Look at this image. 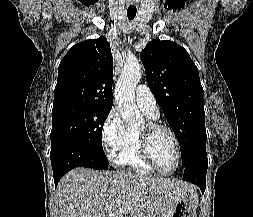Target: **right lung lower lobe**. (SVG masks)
I'll list each match as a JSON object with an SVG mask.
<instances>
[{
  "mask_svg": "<svg viewBox=\"0 0 253 217\" xmlns=\"http://www.w3.org/2000/svg\"><path fill=\"white\" fill-rule=\"evenodd\" d=\"M50 159L55 186L63 175L75 167L97 170L108 169L88 148L74 143L64 144L51 150Z\"/></svg>",
  "mask_w": 253,
  "mask_h": 217,
  "instance_id": "98d812e1",
  "label": "right lung lower lobe"
}]
</instances>
